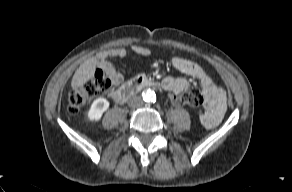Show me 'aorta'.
Returning <instances> with one entry per match:
<instances>
[{
    "label": "aorta",
    "instance_id": "762f6f07",
    "mask_svg": "<svg viewBox=\"0 0 292 192\" xmlns=\"http://www.w3.org/2000/svg\"><path fill=\"white\" fill-rule=\"evenodd\" d=\"M142 97H143L144 101H146V102H154L156 99V94L153 90L147 89V90L143 91Z\"/></svg>",
    "mask_w": 292,
    "mask_h": 192
}]
</instances>
